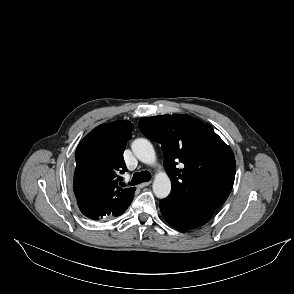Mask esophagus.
I'll return each mask as SVG.
<instances>
[{
  "mask_svg": "<svg viewBox=\"0 0 294 294\" xmlns=\"http://www.w3.org/2000/svg\"><path fill=\"white\" fill-rule=\"evenodd\" d=\"M150 184H151V181H149V182H144V183L138 185V188H144V187H146V186H148V185H150Z\"/></svg>",
  "mask_w": 294,
  "mask_h": 294,
  "instance_id": "34e87169",
  "label": "esophagus"
}]
</instances>
